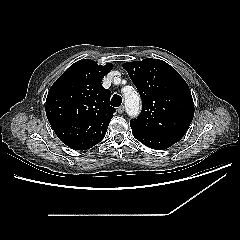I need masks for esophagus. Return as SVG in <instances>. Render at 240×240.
Returning <instances> with one entry per match:
<instances>
[{"label":"esophagus","mask_w":240,"mask_h":240,"mask_svg":"<svg viewBox=\"0 0 240 240\" xmlns=\"http://www.w3.org/2000/svg\"><path fill=\"white\" fill-rule=\"evenodd\" d=\"M118 113L119 114H122L124 112V106H120L118 109H117Z\"/></svg>","instance_id":"34e87169"}]
</instances>
